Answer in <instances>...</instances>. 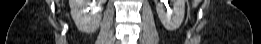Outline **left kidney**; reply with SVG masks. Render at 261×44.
Here are the masks:
<instances>
[{
  "label": "left kidney",
  "mask_w": 261,
  "mask_h": 44,
  "mask_svg": "<svg viewBox=\"0 0 261 44\" xmlns=\"http://www.w3.org/2000/svg\"><path fill=\"white\" fill-rule=\"evenodd\" d=\"M165 1L166 0H160V2L156 3L157 14L163 26L168 31H174L179 28L184 19L185 0H172L173 8L167 12L162 3Z\"/></svg>",
  "instance_id": "left-kidney-1"
}]
</instances>
